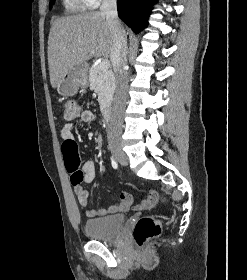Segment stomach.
<instances>
[{
  "label": "stomach",
  "instance_id": "1",
  "mask_svg": "<svg viewBox=\"0 0 247 280\" xmlns=\"http://www.w3.org/2000/svg\"><path fill=\"white\" fill-rule=\"evenodd\" d=\"M88 85V64L86 62L74 65L63 77L57 87L59 94L65 97L75 95L80 88Z\"/></svg>",
  "mask_w": 247,
  "mask_h": 280
}]
</instances>
